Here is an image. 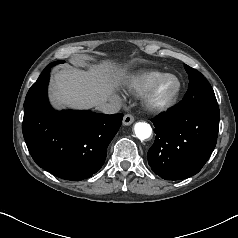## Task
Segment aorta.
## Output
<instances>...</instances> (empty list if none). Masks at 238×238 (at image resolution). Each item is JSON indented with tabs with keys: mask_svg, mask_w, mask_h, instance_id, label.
Instances as JSON below:
<instances>
[{
	"mask_svg": "<svg viewBox=\"0 0 238 238\" xmlns=\"http://www.w3.org/2000/svg\"><path fill=\"white\" fill-rule=\"evenodd\" d=\"M134 132L138 139H148L152 134L151 126L146 122H137L134 125Z\"/></svg>",
	"mask_w": 238,
	"mask_h": 238,
	"instance_id": "aorta-1",
	"label": "aorta"
}]
</instances>
